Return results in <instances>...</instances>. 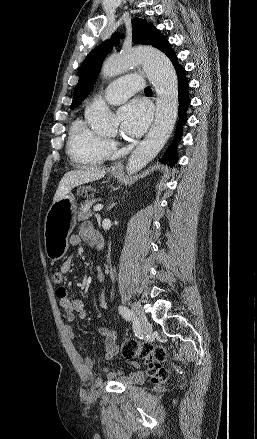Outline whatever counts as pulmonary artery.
<instances>
[{"mask_svg":"<svg viewBox=\"0 0 257 439\" xmlns=\"http://www.w3.org/2000/svg\"><path fill=\"white\" fill-rule=\"evenodd\" d=\"M143 79L138 74H129L112 82L105 90L103 98L107 103L120 104L134 93L143 89Z\"/></svg>","mask_w":257,"mask_h":439,"instance_id":"e3ab8cb5","label":"pulmonary artery"}]
</instances>
